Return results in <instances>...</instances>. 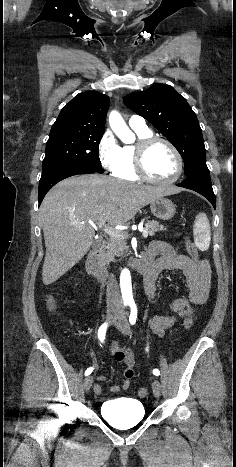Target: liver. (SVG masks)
Instances as JSON below:
<instances>
[{
	"label": "liver",
	"instance_id": "6515ba94",
	"mask_svg": "<svg viewBox=\"0 0 236 467\" xmlns=\"http://www.w3.org/2000/svg\"><path fill=\"white\" fill-rule=\"evenodd\" d=\"M179 191L98 174L73 176L56 184L39 210L46 246L44 285L54 283L83 258L93 244L94 227L102 220L125 225L153 200Z\"/></svg>",
	"mask_w": 236,
	"mask_h": 467
}]
</instances>
